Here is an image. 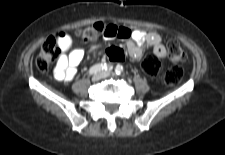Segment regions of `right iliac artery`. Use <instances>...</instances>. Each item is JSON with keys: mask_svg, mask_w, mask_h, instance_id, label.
<instances>
[{"mask_svg": "<svg viewBox=\"0 0 225 155\" xmlns=\"http://www.w3.org/2000/svg\"><path fill=\"white\" fill-rule=\"evenodd\" d=\"M108 69H112V66H109L106 63H104V64L103 63L95 64L89 69V74L93 75V74H96V73H98L100 71H103V70L106 71Z\"/></svg>", "mask_w": 225, "mask_h": 155, "instance_id": "obj_1", "label": "right iliac artery"}]
</instances>
